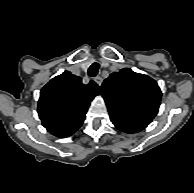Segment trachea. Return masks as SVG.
Masks as SVG:
<instances>
[{
	"label": "trachea",
	"mask_w": 194,
	"mask_h": 193,
	"mask_svg": "<svg viewBox=\"0 0 194 193\" xmlns=\"http://www.w3.org/2000/svg\"><path fill=\"white\" fill-rule=\"evenodd\" d=\"M98 70H99V64L93 63L88 70L89 76L95 77L98 74Z\"/></svg>",
	"instance_id": "1"
}]
</instances>
